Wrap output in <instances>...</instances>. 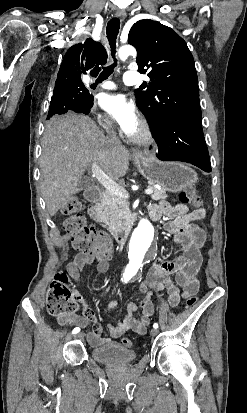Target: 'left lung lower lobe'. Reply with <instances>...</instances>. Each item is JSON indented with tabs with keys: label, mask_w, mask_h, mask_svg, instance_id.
<instances>
[{
	"label": "left lung lower lobe",
	"mask_w": 247,
	"mask_h": 413,
	"mask_svg": "<svg viewBox=\"0 0 247 413\" xmlns=\"http://www.w3.org/2000/svg\"><path fill=\"white\" fill-rule=\"evenodd\" d=\"M152 136L157 142L160 160L187 162L205 172L212 171L201 122L172 118L152 130Z\"/></svg>",
	"instance_id": "1"
}]
</instances>
